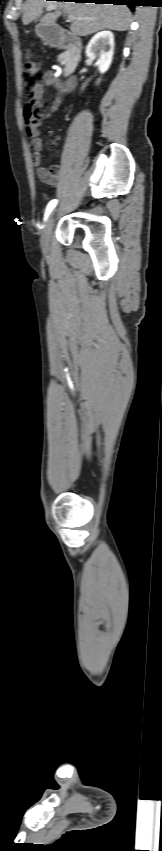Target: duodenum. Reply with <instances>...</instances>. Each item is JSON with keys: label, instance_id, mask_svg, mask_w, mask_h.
<instances>
[{"label": "duodenum", "instance_id": "1", "mask_svg": "<svg viewBox=\"0 0 162 851\" xmlns=\"http://www.w3.org/2000/svg\"><path fill=\"white\" fill-rule=\"evenodd\" d=\"M48 40L50 45L58 48H64L68 51V67L64 71V76L68 77L70 73L77 67L81 53V40L74 34L64 29H52L49 32Z\"/></svg>", "mask_w": 162, "mask_h": 851}]
</instances>
